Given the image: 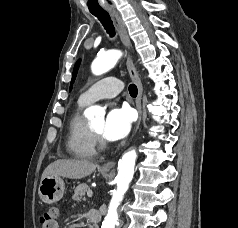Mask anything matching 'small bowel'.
<instances>
[{"label": "small bowel", "instance_id": "small-bowel-1", "mask_svg": "<svg viewBox=\"0 0 238 228\" xmlns=\"http://www.w3.org/2000/svg\"><path fill=\"white\" fill-rule=\"evenodd\" d=\"M46 228H59V224L57 221H55L52 224L48 225Z\"/></svg>", "mask_w": 238, "mask_h": 228}]
</instances>
